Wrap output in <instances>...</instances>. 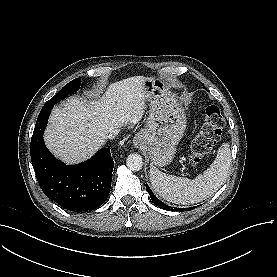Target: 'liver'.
Wrapping results in <instances>:
<instances>
[{
    "label": "liver",
    "mask_w": 277,
    "mask_h": 277,
    "mask_svg": "<svg viewBox=\"0 0 277 277\" xmlns=\"http://www.w3.org/2000/svg\"><path fill=\"white\" fill-rule=\"evenodd\" d=\"M143 81V76L130 77L110 84L98 100L71 97L55 107L44 133L48 149L68 164L90 158L110 131L142 119L148 98Z\"/></svg>",
    "instance_id": "6515ba94"
}]
</instances>
